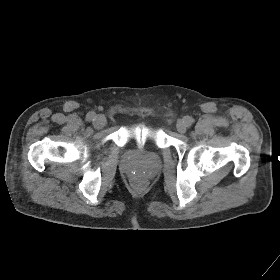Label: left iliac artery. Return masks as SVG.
Instances as JSON below:
<instances>
[{
	"label": "left iliac artery",
	"mask_w": 280,
	"mask_h": 280,
	"mask_svg": "<svg viewBox=\"0 0 280 280\" xmlns=\"http://www.w3.org/2000/svg\"><path fill=\"white\" fill-rule=\"evenodd\" d=\"M184 121L187 124V126H190L194 122V120L189 116L184 117Z\"/></svg>",
	"instance_id": "44dca946"
}]
</instances>
